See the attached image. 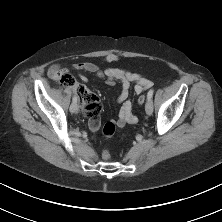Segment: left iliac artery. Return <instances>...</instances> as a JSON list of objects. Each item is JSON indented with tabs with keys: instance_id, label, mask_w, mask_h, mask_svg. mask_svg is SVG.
Returning a JSON list of instances; mask_svg holds the SVG:
<instances>
[{
	"instance_id": "obj_1",
	"label": "left iliac artery",
	"mask_w": 222,
	"mask_h": 222,
	"mask_svg": "<svg viewBox=\"0 0 222 222\" xmlns=\"http://www.w3.org/2000/svg\"><path fill=\"white\" fill-rule=\"evenodd\" d=\"M153 93H154V90H153V89H151V90L148 92V94H147L148 99H151V98L153 97Z\"/></svg>"
}]
</instances>
